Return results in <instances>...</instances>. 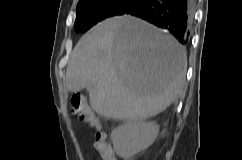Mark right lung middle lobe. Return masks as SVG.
<instances>
[{"label":"right lung middle lobe","mask_w":242,"mask_h":160,"mask_svg":"<svg viewBox=\"0 0 242 160\" xmlns=\"http://www.w3.org/2000/svg\"><path fill=\"white\" fill-rule=\"evenodd\" d=\"M142 0H82L77 5L75 31L86 32L106 18L123 15Z\"/></svg>","instance_id":"obj_1"}]
</instances>
